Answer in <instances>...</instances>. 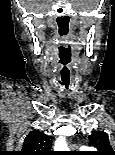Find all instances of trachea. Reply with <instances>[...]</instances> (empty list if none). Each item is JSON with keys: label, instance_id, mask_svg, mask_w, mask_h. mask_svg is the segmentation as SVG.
Returning <instances> with one entry per match:
<instances>
[{"label": "trachea", "instance_id": "1", "mask_svg": "<svg viewBox=\"0 0 115 155\" xmlns=\"http://www.w3.org/2000/svg\"><path fill=\"white\" fill-rule=\"evenodd\" d=\"M64 90H69V87H64Z\"/></svg>", "mask_w": 115, "mask_h": 155}]
</instances>
